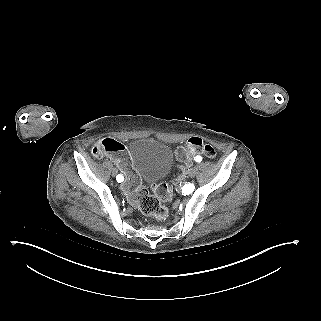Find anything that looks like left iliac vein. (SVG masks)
Returning a JSON list of instances; mask_svg holds the SVG:
<instances>
[{"label": "left iliac vein", "mask_w": 321, "mask_h": 321, "mask_svg": "<svg viewBox=\"0 0 321 321\" xmlns=\"http://www.w3.org/2000/svg\"><path fill=\"white\" fill-rule=\"evenodd\" d=\"M188 175L192 178L196 175V169L195 168H191L189 171H188Z\"/></svg>", "instance_id": "obj_1"}]
</instances>
